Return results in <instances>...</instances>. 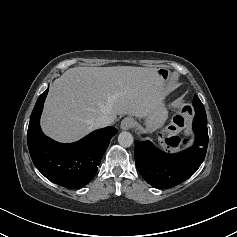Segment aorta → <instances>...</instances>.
I'll return each instance as SVG.
<instances>
[{
	"mask_svg": "<svg viewBox=\"0 0 237 237\" xmlns=\"http://www.w3.org/2000/svg\"><path fill=\"white\" fill-rule=\"evenodd\" d=\"M118 143L122 147H130L133 144V136L130 132L123 131L118 136Z\"/></svg>",
	"mask_w": 237,
	"mask_h": 237,
	"instance_id": "aorta-1",
	"label": "aorta"
}]
</instances>
